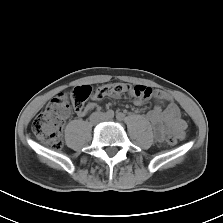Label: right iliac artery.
<instances>
[{
	"label": "right iliac artery",
	"instance_id": "1",
	"mask_svg": "<svg viewBox=\"0 0 223 223\" xmlns=\"http://www.w3.org/2000/svg\"><path fill=\"white\" fill-rule=\"evenodd\" d=\"M106 115L108 116V117H114V112H113V110H108L107 112H106Z\"/></svg>",
	"mask_w": 223,
	"mask_h": 223
}]
</instances>
